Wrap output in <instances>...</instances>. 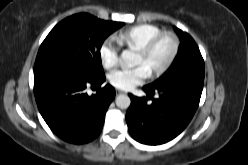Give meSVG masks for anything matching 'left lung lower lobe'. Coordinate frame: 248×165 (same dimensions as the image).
I'll use <instances>...</instances> for the list:
<instances>
[{
  "instance_id": "0a47b994",
  "label": "left lung lower lobe",
  "mask_w": 248,
  "mask_h": 165,
  "mask_svg": "<svg viewBox=\"0 0 248 165\" xmlns=\"http://www.w3.org/2000/svg\"><path fill=\"white\" fill-rule=\"evenodd\" d=\"M203 89L201 81L169 83L156 88L143 87L147 98L129 94L126 113L130 135L140 143L158 145L178 136L192 119ZM157 94V98L153 96ZM151 99L152 103L147 100Z\"/></svg>"
}]
</instances>
